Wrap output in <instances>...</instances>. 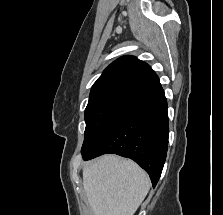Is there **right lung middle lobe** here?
I'll return each instance as SVG.
<instances>
[{
	"instance_id": "obj_1",
	"label": "right lung middle lobe",
	"mask_w": 223,
	"mask_h": 215,
	"mask_svg": "<svg viewBox=\"0 0 223 215\" xmlns=\"http://www.w3.org/2000/svg\"><path fill=\"white\" fill-rule=\"evenodd\" d=\"M144 98L128 91H112L90 98L84 113L86 128L81 153L90 152Z\"/></svg>"
}]
</instances>
